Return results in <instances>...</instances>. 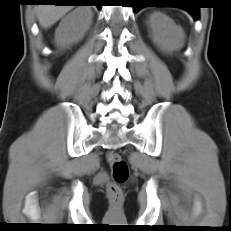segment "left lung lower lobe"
Here are the masks:
<instances>
[{
	"instance_id": "1",
	"label": "left lung lower lobe",
	"mask_w": 231,
	"mask_h": 231,
	"mask_svg": "<svg viewBox=\"0 0 231 231\" xmlns=\"http://www.w3.org/2000/svg\"><path fill=\"white\" fill-rule=\"evenodd\" d=\"M134 2V11L137 12L143 7H158L157 4L167 3V4H180L179 6L186 11H188L195 20L199 19V7L196 6V3L193 0H133Z\"/></svg>"
}]
</instances>
